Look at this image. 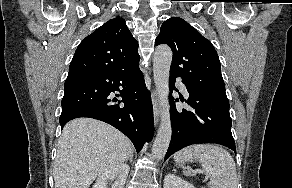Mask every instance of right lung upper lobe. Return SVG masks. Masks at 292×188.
Instances as JSON below:
<instances>
[{"label": "right lung upper lobe", "instance_id": "cb5924a9", "mask_svg": "<svg viewBox=\"0 0 292 188\" xmlns=\"http://www.w3.org/2000/svg\"><path fill=\"white\" fill-rule=\"evenodd\" d=\"M138 42L120 17L110 19L77 47L69 73L128 71L138 67Z\"/></svg>", "mask_w": 292, "mask_h": 188}]
</instances>
